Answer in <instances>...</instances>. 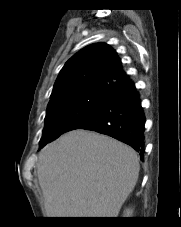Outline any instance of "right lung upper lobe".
Masks as SVG:
<instances>
[{"label": "right lung upper lobe", "mask_w": 181, "mask_h": 227, "mask_svg": "<svg viewBox=\"0 0 181 227\" xmlns=\"http://www.w3.org/2000/svg\"><path fill=\"white\" fill-rule=\"evenodd\" d=\"M125 73L116 52L107 44L96 43L81 49L61 69L50 102L73 94L112 89Z\"/></svg>", "instance_id": "obj_1"}]
</instances>
